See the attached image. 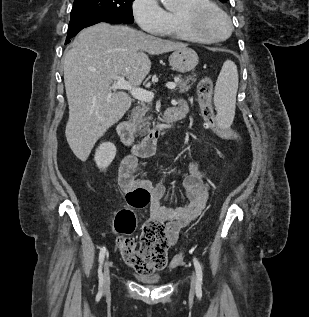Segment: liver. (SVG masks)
I'll return each instance as SVG.
<instances>
[{
    "mask_svg": "<svg viewBox=\"0 0 309 317\" xmlns=\"http://www.w3.org/2000/svg\"><path fill=\"white\" fill-rule=\"evenodd\" d=\"M123 25L98 23L82 30L64 55L69 105L65 135L77 158L86 161L96 141L130 108L129 94L113 92L111 77L141 85L151 69L149 55L186 47Z\"/></svg>",
    "mask_w": 309,
    "mask_h": 317,
    "instance_id": "obj_1",
    "label": "liver"
}]
</instances>
